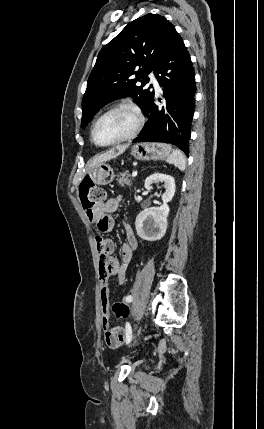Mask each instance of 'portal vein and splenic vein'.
I'll use <instances>...</instances> for the list:
<instances>
[{"label":"portal vein and splenic vein","mask_w":264,"mask_h":429,"mask_svg":"<svg viewBox=\"0 0 264 429\" xmlns=\"http://www.w3.org/2000/svg\"><path fill=\"white\" fill-rule=\"evenodd\" d=\"M132 176H133V177H136V176H137V171H133V172H132Z\"/></svg>","instance_id":"obj_1"}]
</instances>
